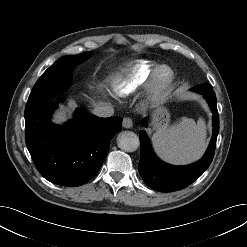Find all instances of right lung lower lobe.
Segmentation results:
<instances>
[{
	"label": "right lung lower lobe",
	"mask_w": 247,
	"mask_h": 247,
	"mask_svg": "<svg viewBox=\"0 0 247 247\" xmlns=\"http://www.w3.org/2000/svg\"><path fill=\"white\" fill-rule=\"evenodd\" d=\"M55 94L28 99L25 109V141L40 174L48 181L75 187L100 170L111 139L122 129L119 116L98 118L78 112L67 125L51 123Z\"/></svg>",
	"instance_id": "1"
}]
</instances>
